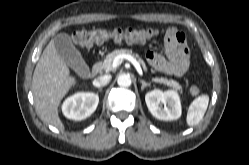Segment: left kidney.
<instances>
[{"label":"left kidney","instance_id":"left-kidney-1","mask_svg":"<svg viewBox=\"0 0 249 165\" xmlns=\"http://www.w3.org/2000/svg\"><path fill=\"white\" fill-rule=\"evenodd\" d=\"M145 101L151 114L159 120H177L182 114L180 97L174 90H152L145 95Z\"/></svg>","mask_w":249,"mask_h":165}]
</instances>
